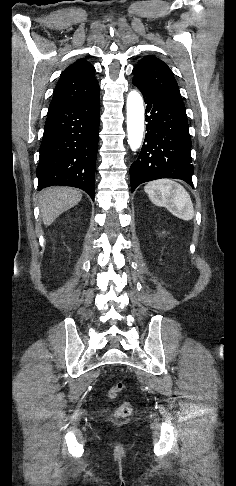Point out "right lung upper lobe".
Returning <instances> with one entry per match:
<instances>
[{
	"mask_svg": "<svg viewBox=\"0 0 236 486\" xmlns=\"http://www.w3.org/2000/svg\"><path fill=\"white\" fill-rule=\"evenodd\" d=\"M94 73L95 68L84 59H79L67 67L55 87L49 108H57L98 95L100 89Z\"/></svg>",
	"mask_w": 236,
	"mask_h": 486,
	"instance_id": "obj_1",
	"label": "right lung upper lobe"
}]
</instances>
